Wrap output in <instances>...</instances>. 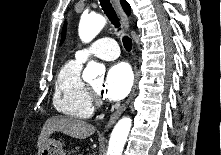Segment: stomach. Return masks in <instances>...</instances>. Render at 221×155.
I'll return each mask as SVG.
<instances>
[{
	"label": "stomach",
	"instance_id": "1",
	"mask_svg": "<svg viewBox=\"0 0 221 155\" xmlns=\"http://www.w3.org/2000/svg\"><path fill=\"white\" fill-rule=\"evenodd\" d=\"M38 155H65L62 144L54 139H47Z\"/></svg>",
	"mask_w": 221,
	"mask_h": 155
}]
</instances>
